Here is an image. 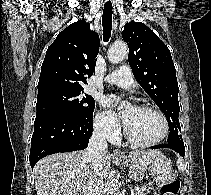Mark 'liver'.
Listing matches in <instances>:
<instances>
[{"instance_id":"obj_1","label":"liver","mask_w":211,"mask_h":195,"mask_svg":"<svg viewBox=\"0 0 211 195\" xmlns=\"http://www.w3.org/2000/svg\"><path fill=\"white\" fill-rule=\"evenodd\" d=\"M86 151L57 153L39 160L34 167L37 195H87L92 164L85 158ZM158 151H132L128 159L132 164L144 165ZM112 156L103 152V174L108 176Z\"/></svg>"}]
</instances>
